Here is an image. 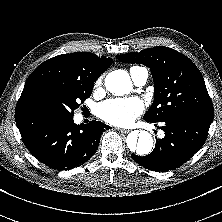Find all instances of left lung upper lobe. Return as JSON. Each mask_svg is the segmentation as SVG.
I'll use <instances>...</instances> for the list:
<instances>
[{
  "label": "left lung upper lobe",
  "mask_w": 222,
  "mask_h": 222,
  "mask_svg": "<svg viewBox=\"0 0 222 222\" xmlns=\"http://www.w3.org/2000/svg\"><path fill=\"white\" fill-rule=\"evenodd\" d=\"M117 59L124 63L144 64L151 69L154 101L144 115L145 121L157 123L186 111L213 113L202 74L185 55L159 46L117 55Z\"/></svg>",
  "instance_id": "obj_1"
}]
</instances>
